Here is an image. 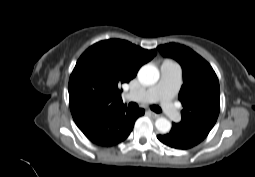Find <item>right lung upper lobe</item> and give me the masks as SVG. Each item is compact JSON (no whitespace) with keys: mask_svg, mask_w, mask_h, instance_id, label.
<instances>
[{"mask_svg":"<svg viewBox=\"0 0 255 177\" xmlns=\"http://www.w3.org/2000/svg\"><path fill=\"white\" fill-rule=\"evenodd\" d=\"M156 52L120 39L100 41L89 47L69 79V103L75 123L80 125L124 106L121 85L132 80Z\"/></svg>","mask_w":255,"mask_h":177,"instance_id":"1","label":"right lung upper lobe"}]
</instances>
